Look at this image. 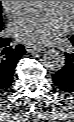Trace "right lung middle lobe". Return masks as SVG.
Listing matches in <instances>:
<instances>
[{"mask_svg":"<svg viewBox=\"0 0 74 122\" xmlns=\"http://www.w3.org/2000/svg\"><path fill=\"white\" fill-rule=\"evenodd\" d=\"M2 29V19H1V16H0V31Z\"/></svg>","mask_w":74,"mask_h":122,"instance_id":"1","label":"right lung middle lobe"}]
</instances>
